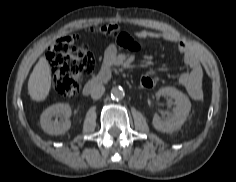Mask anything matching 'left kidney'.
<instances>
[{
	"mask_svg": "<svg viewBox=\"0 0 236 182\" xmlns=\"http://www.w3.org/2000/svg\"><path fill=\"white\" fill-rule=\"evenodd\" d=\"M161 96L174 99L175 107L172 115L166 119H161L158 115L153 117V126L156 130L164 133H171L181 127L191 109L189 98L174 87H164L157 91L156 97Z\"/></svg>",
	"mask_w": 236,
	"mask_h": 182,
	"instance_id": "obj_1",
	"label": "left kidney"
}]
</instances>
